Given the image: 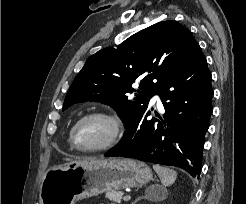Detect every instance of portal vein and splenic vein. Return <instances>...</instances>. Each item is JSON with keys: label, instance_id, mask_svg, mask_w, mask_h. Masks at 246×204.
I'll use <instances>...</instances> for the list:
<instances>
[{"label": "portal vein and splenic vein", "instance_id": "obj_1", "mask_svg": "<svg viewBox=\"0 0 246 204\" xmlns=\"http://www.w3.org/2000/svg\"><path fill=\"white\" fill-rule=\"evenodd\" d=\"M130 199H131V196H129V195L123 197V200H124V201H128V200H130Z\"/></svg>", "mask_w": 246, "mask_h": 204}]
</instances>
